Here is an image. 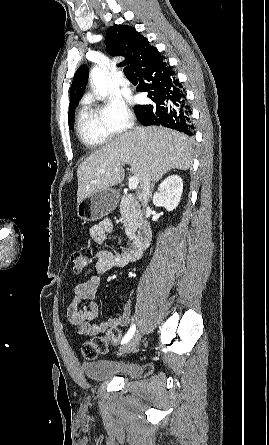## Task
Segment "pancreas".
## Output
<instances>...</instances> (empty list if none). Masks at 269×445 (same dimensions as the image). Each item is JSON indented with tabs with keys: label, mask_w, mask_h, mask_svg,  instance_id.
Masks as SVG:
<instances>
[{
	"label": "pancreas",
	"mask_w": 269,
	"mask_h": 445,
	"mask_svg": "<svg viewBox=\"0 0 269 445\" xmlns=\"http://www.w3.org/2000/svg\"><path fill=\"white\" fill-rule=\"evenodd\" d=\"M120 213L123 219V226L128 238L133 239L135 232L142 218L140 205L132 194H125L121 198Z\"/></svg>",
	"instance_id": "cf45deb5"
}]
</instances>
